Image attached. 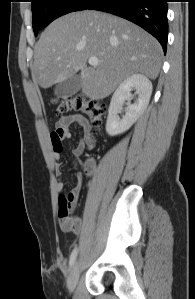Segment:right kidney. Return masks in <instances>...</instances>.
Masks as SVG:
<instances>
[{"mask_svg": "<svg viewBox=\"0 0 195 299\" xmlns=\"http://www.w3.org/2000/svg\"><path fill=\"white\" fill-rule=\"evenodd\" d=\"M135 90L138 98L133 104L128 105L126 114L122 119L118 112L122 109L125 101H130L131 91ZM152 94L151 81L142 74H134L125 79L114 92L110 107L108 109V118L106 123V132L110 136H115L127 131L143 114L147 108Z\"/></svg>", "mask_w": 195, "mask_h": 299, "instance_id": "ca27d5eb", "label": "right kidney"}]
</instances>
